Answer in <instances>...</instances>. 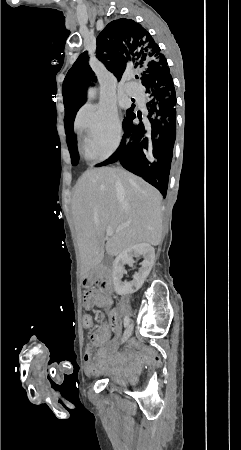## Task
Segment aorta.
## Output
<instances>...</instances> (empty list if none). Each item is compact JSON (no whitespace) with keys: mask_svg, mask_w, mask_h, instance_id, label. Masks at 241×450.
Here are the masks:
<instances>
[{"mask_svg":"<svg viewBox=\"0 0 241 450\" xmlns=\"http://www.w3.org/2000/svg\"><path fill=\"white\" fill-rule=\"evenodd\" d=\"M95 97V95H94V93H90V98H94Z\"/></svg>","mask_w":241,"mask_h":450,"instance_id":"1","label":"aorta"}]
</instances>
